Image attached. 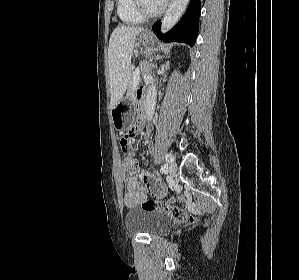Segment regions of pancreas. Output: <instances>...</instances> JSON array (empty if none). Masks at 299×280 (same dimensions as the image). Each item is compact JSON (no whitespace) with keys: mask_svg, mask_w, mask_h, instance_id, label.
Masks as SVG:
<instances>
[{"mask_svg":"<svg viewBox=\"0 0 299 280\" xmlns=\"http://www.w3.org/2000/svg\"><path fill=\"white\" fill-rule=\"evenodd\" d=\"M133 76H134V73L131 74V80H130L129 87H128L129 93H133V91L135 89V86L133 85Z\"/></svg>","mask_w":299,"mask_h":280,"instance_id":"obj_1","label":"pancreas"}]
</instances>
